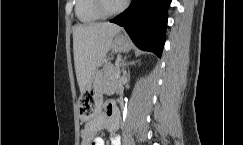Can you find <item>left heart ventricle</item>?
I'll return each instance as SVG.
<instances>
[{"label":"left heart ventricle","mask_w":243,"mask_h":145,"mask_svg":"<svg viewBox=\"0 0 243 145\" xmlns=\"http://www.w3.org/2000/svg\"><path fill=\"white\" fill-rule=\"evenodd\" d=\"M124 0H106L107 6L110 9H115L119 7Z\"/></svg>","instance_id":"obj_1"}]
</instances>
